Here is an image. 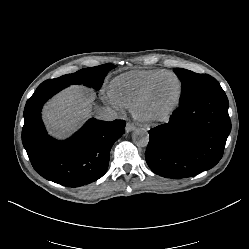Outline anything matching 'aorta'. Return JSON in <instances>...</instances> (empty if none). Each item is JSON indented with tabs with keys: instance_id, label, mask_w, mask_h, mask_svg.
<instances>
[{
	"instance_id": "762f6f07",
	"label": "aorta",
	"mask_w": 249,
	"mask_h": 249,
	"mask_svg": "<svg viewBox=\"0 0 249 249\" xmlns=\"http://www.w3.org/2000/svg\"><path fill=\"white\" fill-rule=\"evenodd\" d=\"M132 140L138 147H146L149 142L148 132L142 129H136L132 133Z\"/></svg>"
}]
</instances>
